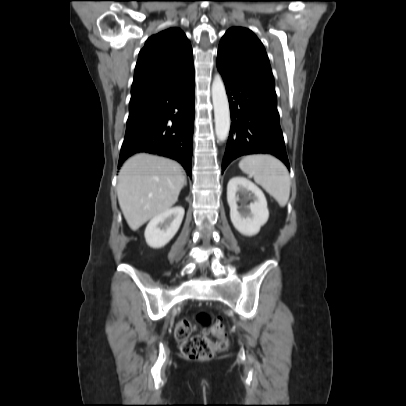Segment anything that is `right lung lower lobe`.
Instances as JSON below:
<instances>
[{
  "mask_svg": "<svg viewBox=\"0 0 406 406\" xmlns=\"http://www.w3.org/2000/svg\"><path fill=\"white\" fill-rule=\"evenodd\" d=\"M194 71L167 89L132 107L138 118L127 124L119 166L133 154L146 152L178 161L192 174Z\"/></svg>",
  "mask_w": 406,
  "mask_h": 406,
  "instance_id": "98d812e1",
  "label": "right lung lower lobe"
}]
</instances>
